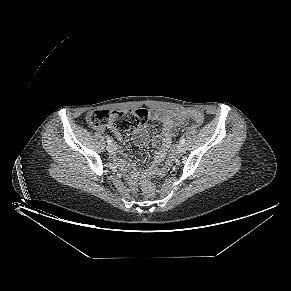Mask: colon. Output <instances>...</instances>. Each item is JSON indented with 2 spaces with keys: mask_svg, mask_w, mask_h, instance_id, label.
Returning <instances> with one entry per match:
<instances>
[{
  "mask_svg": "<svg viewBox=\"0 0 291 291\" xmlns=\"http://www.w3.org/2000/svg\"><path fill=\"white\" fill-rule=\"evenodd\" d=\"M183 116L191 117L198 124H202L204 116L200 111L188 110L181 113ZM146 109H132L128 111L96 110L88 114L87 122L94 128H100L115 142H122L130 133L139 128L149 118ZM154 171H146L142 178L141 188L147 197L155 193V186L150 180Z\"/></svg>",
  "mask_w": 291,
  "mask_h": 291,
  "instance_id": "5ec220e1",
  "label": "colon"
}]
</instances>
